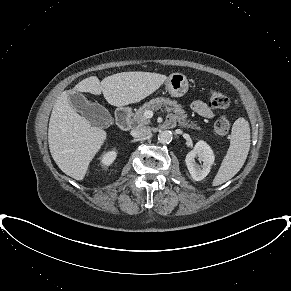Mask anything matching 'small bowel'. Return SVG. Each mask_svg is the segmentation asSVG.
<instances>
[{
  "instance_id": "1",
  "label": "small bowel",
  "mask_w": 291,
  "mask_h": 291,
  "mask_svg": "<svg viewBox=\"0 0 291 291\" xmlns=\"http://www.w3.org/2000/svg\"><path fill=\"white\" fill-rule=\"evenodd\" d=\"M191 109L195 113L206 119H212L214 117L213 110L201 100H195L194 102H192Z\"/></svg>"
}]
</instances>
